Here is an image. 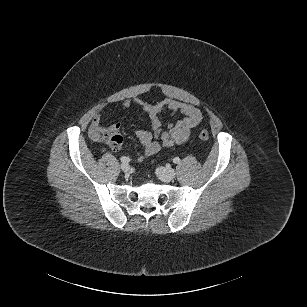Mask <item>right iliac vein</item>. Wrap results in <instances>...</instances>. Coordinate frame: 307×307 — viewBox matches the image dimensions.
I'll use <instances>...</instances> for the list:
<instances>
[{
	"label": "right iliac vein",
	"mask_w": 307,
	"mask_h": 307,
	"mask_svg": "<svg viewBox=\"0 0 307 307\" xmlns=\"http://www.w3.org/2000/svg\"><path fill=\"white\" fill-rule=\"evenodd\" d=\"M121 170H122L123 172H129V170H130L129 164H127V163H122V164H121Z\"/></svg>",
	"instance_id": "63e3f726"
}]
</instances>
